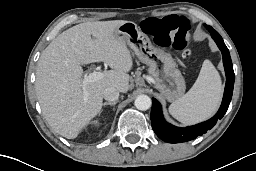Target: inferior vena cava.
I'll use <instances>...</instances> for the list:
<instances>
[{
  "instance_id": "obj_1",
  "label": "inferior vena cava",
  "mask_w": 256,
  "mask_h": 171,
  "mask_svg": "<svg viewBox=\"0 0 256 171\" xmlns=\"http://www.w3.org/2000/svg\"><path fill=\"white\" fill-rule=\"evenodd\" d=\"M103 97L109 102H114L119 97V91L114 87H107L103 92Z\"/></svg>"
}]
</instances>
